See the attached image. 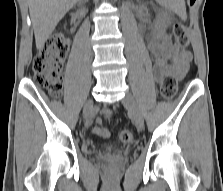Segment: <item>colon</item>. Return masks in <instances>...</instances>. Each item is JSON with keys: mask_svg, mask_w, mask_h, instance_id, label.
I'll list each match as a JSON object with an SVG mask.
<instances>
[{"mask_svg": "<svg viewBox=\"0 0 223 191\" xmlns=\"http://www.w3.org/2000/svg\"><path fill=\"white\" fill-rule=\"evenodd\" d=\"M173 36L178 45L185 49L188 46L186 28L181 23L172 27ZM68 52V45L64 38L57 37L45 44L43 49L35 56L32 62L35 84L45 89L50 95L58 97L63 88L61 71ZM177 77L167 75L161 85L162 96L171 100L177 91ZM94 131L102 137H108L105 129L95 128ZM119 140L123 144H129L133 140V133L130 130H122L119 133Z\"/></svg>", "mask_w": 223, "mask_h": 191, "instance_id": "5ec220e1", "label": "colon"}]
</instances>
